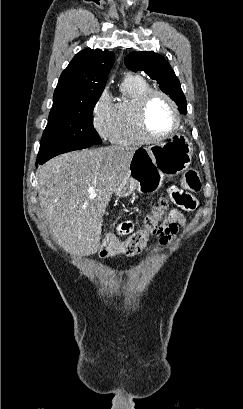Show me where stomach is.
I'll use <instances>...</instances> for the list:
<instances>
[{"instance_id": "0dacf381", "label": "stomach", "mask_w": 243, "mask_h": 409, "mask_svg": "<svg viewBox=\"0 0 243 409\" xmlns=\"http://www.w3.org/2000/svg\"><path fill=\"white\" fill-rule=\"evenodd\" d=\"M192 152L188 139L181 135L153 147L136 150L130 170L116 191L117 196L158 191L166 176L178 175L189 167Z\"/></svg>"}]
</instances>
